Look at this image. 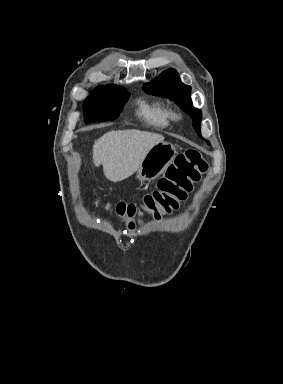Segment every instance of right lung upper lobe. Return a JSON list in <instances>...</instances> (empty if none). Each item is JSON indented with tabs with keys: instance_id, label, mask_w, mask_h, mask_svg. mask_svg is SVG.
Wrapping results in <instances>:
<instances>
[{
	"instance_id": "obj_1",
	"label": "right lung upper lobe",
	"mask_w": 283,
	"mask_h": 384,
	"mask_svg": "<svg viewBox=\"0 0 283 384\" xmlns=\"http://www.w3.org/2000/svg\"><path fill=\"white\" fill-rule=\"evenodd\" d=\"M108 86H114V85H108ZM108 86H99L98 88H100V87H108Z\"/></svg>"
}]
</instances>
